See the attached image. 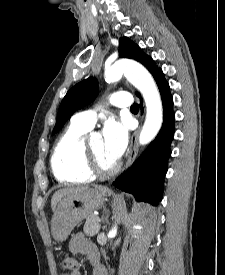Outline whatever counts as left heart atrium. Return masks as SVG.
<instances>
[{"label": "left heart atrium", "mask_w": 225, "mask_h": 275, "mask_svg": "<svg viewBox=\"0 0 225 275\" xmlns=\"http://www.w3.org/2000/svg\"><path fill=\"white\" fill-rule=\"evenodd\" d=\"M128 142L127 126L124 122L110 120L103 128V143L106 155L117 161L124 153Z\"/></svg>", "instance_id": "left-heart-atrium-1"}]
</instances>
